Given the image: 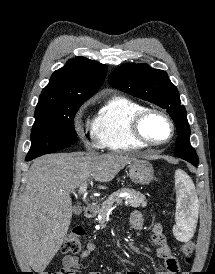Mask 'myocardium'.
Returning a JSON list of instances; mask_svg holds the SVG:
<instances>
[{
    "label": "myocardium",
    "mask_w": 215,
    "mask_h": 274,
    "mask_svg": "<svg viewBox=\"0 0 215 274\" xmlns=\"http://www.w3.org/2000/svg\"><path fill=\"white\" fill-rule=\"evenodd\" d=\"M151 114H158L162 116L169 124L170 127V135L169 137L161 142H154L151 141L143 131V124L145 120L150 116ZM131 131L136 140L144 144L145 146H151V147H161L166 144H168L175 135V124L173 122V119L170 117L168 113L161 109L157 108H145L141 110L139 113H137L131 122Z\"/></svg>",
    "instance_id": "f54148a6"
}]
</instances>
